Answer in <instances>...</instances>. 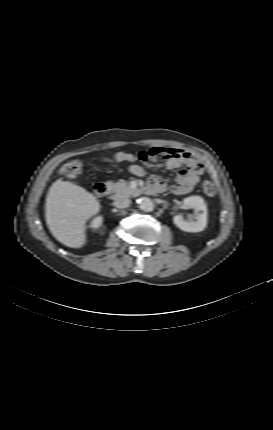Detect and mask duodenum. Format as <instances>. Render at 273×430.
<instances>
[{
  "label": "duodenum",
  "instance_id": "410a0bca",
  "mask_svg": "<svg viewBox=\"0 0 273 430\" xmlns=\"http://www.w3.org/2000/svg\"><path fill=\"white\" fill-rule=\"evenodd\" d=\"M109 192H110L109 184L105 182H99L95 185V193L97 194V196L105 197L109 194Z\"/></svg>",
  "mask_w": 273,
  "mask_h": 430
}]
</instances>
